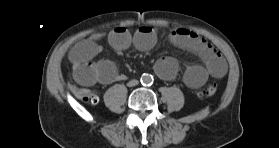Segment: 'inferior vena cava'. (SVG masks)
<instances>
[{"mask_svg":"<svg viewBox=\"0 0 279 148\" xmlns=\"http://www.w3.org/2000/svg\"><path fill=\"white\" fill-rule=\"evenodd\" d=\"M138 83H139L138 80L133 79V80L129 81L127 85L129 87H132V86L137 85Z\"/></svg>","mask_w":279,"mask_h":148,"instance_id":"inferior-vena-cava-1","label":"inferior vena cava"}]
</instances>
